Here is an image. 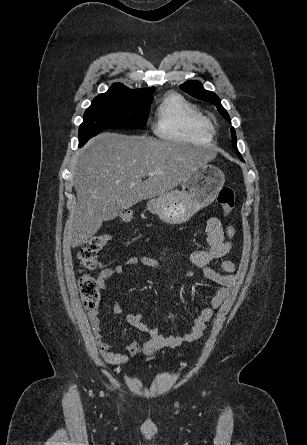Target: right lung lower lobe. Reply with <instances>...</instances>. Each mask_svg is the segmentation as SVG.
Returning a JSON list of instances; mask_svg holds the SVG:
<instances>
[{
	"label": "right lung lower lobe",
	"instance_id": "98d812e1",
	"mask_svg": "<svg viewBox=\"0 0 307 445\" xmlns=\"http://www.w3.org/2000/svg\"><path fill=\"white\" fill-rule=\"evenodd\" d=\"M85 143L79 141V147L83 146Z\"/></svg>",
	"mask_w": 307,
	"mask_h": 445
}]
</instances>
